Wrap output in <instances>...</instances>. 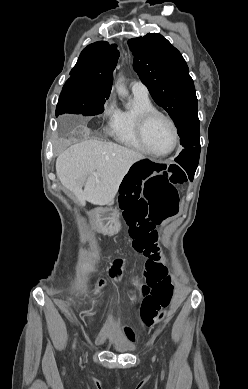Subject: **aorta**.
<instances>
[{
	"label": "aorta",
	"instance_id": "762f6f07",
	"mask_svg": "<svg viewBox=\"0 0 248 389\" xmlns=\"http://www.w3.org/2000/svg\"><path fill=\"white\" fill-rule=\"evenodd\" d=\"M121 82H122V78H120L118 80L116 89H117V92H118L119 95L124 96V95L127 94V91H126L125 87L121 84Z\"/></svg>",
	"mask_w": 248,
	"mask_h": 389
}]
</instances>
